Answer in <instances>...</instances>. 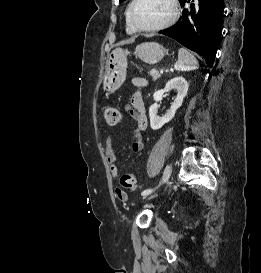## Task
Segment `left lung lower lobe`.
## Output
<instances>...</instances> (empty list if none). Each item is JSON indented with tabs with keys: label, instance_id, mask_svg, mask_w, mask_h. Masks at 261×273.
<instances>
[{
	"label": "left lung lower lobe",
	"instance_id": "obj_1",
	"mask_svg": "<svg viewBox=\"0 0 261 273\" xmlns=\"http://www.w3.org/2000/svg\"><path fill=\"white\" fill-rule=\"evenodd\" d=\"M186 2L191 3L189 8ZM180 4L184 10L179 21L159 33L199 53L212 67L223 26V0H180Z\"/></svg>",
	"mask_w": 261,
	"mask_h": 273
}]
</instances>
